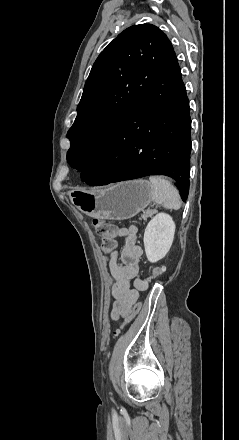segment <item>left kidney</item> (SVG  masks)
Masks as SVG:
<instances>
[{
	"label": "left kidney",
	"instance_id": "1",
	"mask_svg": "<svg viewBox=\"0 0 239 440\" xmlns=\"http://www.w3.org/2000/svg\"><path fill=\"white\" fill-rule=\"evenodd\" d=\"M175 224L168 214H157L144 232L145 254L149 262H158L169 252L175 234Z\"/></svg>",
	"mask_w": 239,
	"mask_h": 440
}]
</instances>
